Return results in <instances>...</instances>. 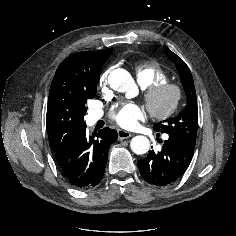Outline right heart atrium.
Here are the masks:
<instances>
[{"label":"right heart atrium","mask_w":236,"mask_h":236,"mask_svg":"<svg viewBox=\"0 0 236 236\" xmlns=\"http://www.w3.org/2000/svg\"><path fill=\"white\" fill-rule=\"evenodd\" d=\"M108 76H109V72H105L101 75L100 77V85L102 88H105L108 84Z\"/></svg>","instance_id":"d8ad5b80"}]
</instances>
